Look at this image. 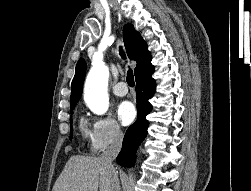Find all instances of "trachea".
I'll return each instance as SVG.
<instances>
[{
  "label": "trachea",
  "mask_w": 251,
  "mask_h": 191,
  "mask_svg": "<svg viewBox=\"0 0 251 191\" xmlns=\"http://www.w3.org/2000/svg\"><path fill=\"white\" fill-rule=\"evenodd\" d=\"M119 51H120V56L125 60L126 59V55H125L122 47H120ZM126 81H127V84L129 86H131V88H133V86L135 84V80H134V76H133V72H132L131 68H129V70L127 72Z\"/></svg>",
  "instance_id": "3493384b"
}]
</instances>
